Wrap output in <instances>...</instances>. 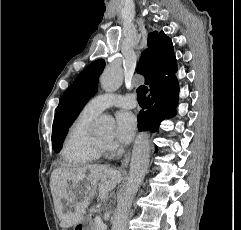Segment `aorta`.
<instances>
[{
    "mask_svg": "<svg viewBox=\"0 0 241 230\" xmlns=\"http://www.w3.org/2000/svg\"><path fill=\"white\" fill-rule=\"evenodd\" d=\"M123 82V72L118 66L107 67L100 76V84L106 92L116 91ZM115 120L110 115H101L94 123V132L111 135ZM150 160V140L147 134H140L133 146L129 177L117 208L114 212L111 230H126L128 213L138 189L147 173Z\"/></svg>",
    "mask_w": 241,
    "mask_h": 230,
    "instance_id": "762f6f07",
    "label": "aorta"
}]
</instances>
